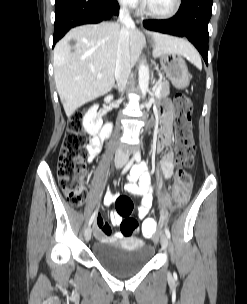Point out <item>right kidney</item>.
Here are the masks:
<instances>
[{
  "mask_svg": "<svg viewBox=\"0 0 247 304\" xmlns=\"http://www.w3.org/2000/svg\"><path fill=\"white\" fill-rule=\"evenodd\" d=\"M112 99L113 96L109 95L105 97L104 100L106 102H110ZM98 107L99 105L97 104L93 105L83 117V127L85 131L91 136L97 135L103 124L101 116H99L97 113Z\"/></svg>",
  "mask_w": 247,
  "mask_h": 304,
  "instance_id": "right-kidney-1",
  "label": "right kidney"
}]
</instances>
